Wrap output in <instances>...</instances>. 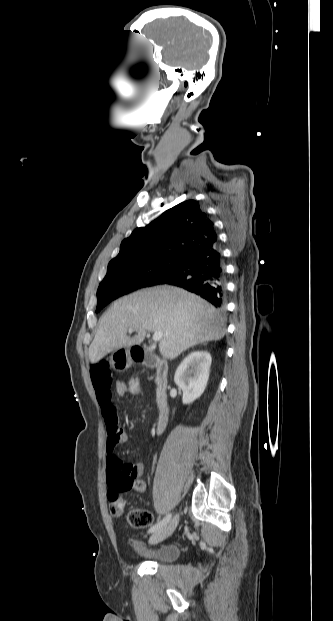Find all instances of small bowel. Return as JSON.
I'll return each mask as SVG.
<instances>
[{
	"label": "small bowel",
	"mask_w": 333,
	"mask_h": 621,
	"mask_svg": "<svg viewBox=\"0 0 333 621\" xmlns=\"http://www.w3.org/2000/svg\"><path fill=\"white\" fill-rule=\"evenodd\" d=\"M91 379L96 392L97 400L101 407L102 416L106 424V451L108 470L110 467V463L112 462H118L122 464V462H120L117 457L115 449L119 444L125 443L128 440V435L120 425L117 409L113 403V392L111 389L112 376L109 369V363L106 359L102 358L93 364L91 370ZM114 391L118 396L126 395L124 382H117ZM122 465L123 467L128 468L131 472V477L134 481L132 489L137 492H143L145 490V483L139 479L143 472V464L141 462H138L126 463ZM108 497L109 504H112L115 501H120L123 502V504L125 505V502L120 496L119 491H116L115 489H111L109 491Z\"/></svg>",
	"instance_id": "small-bowel-1"
}]
</instances>
